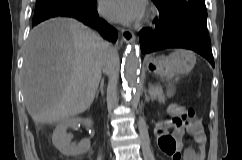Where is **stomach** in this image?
I'll return each mask as SVG.
<instances>
[{
  "mask_svg": "<svg viewBox=\"0 0 242 160\" xmlns=\"http://www.w3.org/2000/svg\"><path fill=\"white\" fill-rule=\"evenodd\" d=\"M196 57L192 51L178 49L169 56L147 60L149 70L162 78H171L175 73H187L192 70Z\"/></svg>",
  "mask_w": 242,
  "mask_h": 160,
  "instance_id": "1",
  "label": "stomach"
}]
</instances>
